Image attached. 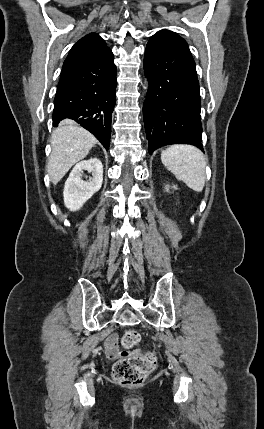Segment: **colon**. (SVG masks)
Instances as JSON below:
<instances>
[{
    "label": "colon",
    "mask_w": 264,
    "mask_h": 429,
    "mask_svg": "<svg viewBox=\"0 0 264 429\" xmlns=\"http://www.w3.org/2000/svg\"><path fill=\"white\" fill-rule=\"evenodd\" d=\"M140 339V334L136 330H128L123 334L121 343L125 349L130 350L139 344ZM155 365L156 357L150 352L131 355L123 353L113 365L112 379L122 386H139L153 371Z\"/></svg>",
    "instance_id": "colon-1"
}]
</instances>
